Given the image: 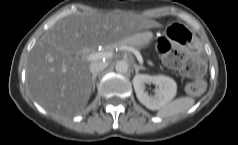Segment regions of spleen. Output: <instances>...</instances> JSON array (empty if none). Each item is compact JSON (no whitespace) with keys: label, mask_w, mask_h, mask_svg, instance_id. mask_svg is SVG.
<instances>
[{"label":"spleen","mask_w":238,"mask_h":145,"mask_svg":"<svg viewBox=\"0 0 238 145\" xmlns=\"http://www.w3.org/2000/svg\"><path fill=\"white\" fill-rule=\"evenodd\" d=\"M194 103L195 100L192 97H180L165 104L157 115L162 118L171 117L187 111L194 105Z\"/></svg>","instance_id":"spleen-1"}]
</instances>
